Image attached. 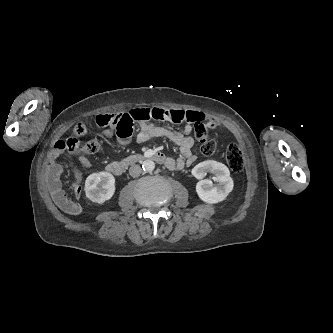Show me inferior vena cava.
Returning <instances> with one entry per match:
<instances>
[{
	"label": "inferior vena cava",
	"mask_w": 333,
	"mask_h": 333,
	"mask_svg": "<svg viewBox=\"0 0 333 333\" xmlns=\"http://www.w3.org/2000/svg\"><path fill=\"white\" fill-rule=\"evenodd\" d=\"M141 172H142V169L139 165H133L129 169V174L132 177H138L141 174Z\"/></svg>",
	"instance_id": "602c4592"
}]
</instances>
